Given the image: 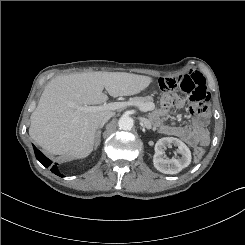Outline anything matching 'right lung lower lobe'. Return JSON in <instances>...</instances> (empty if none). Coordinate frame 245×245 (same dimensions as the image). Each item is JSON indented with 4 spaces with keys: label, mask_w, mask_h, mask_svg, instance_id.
Returning <instances> with one entry per match:
<instances>
[{
    "label": "right lung lower lobe",
    "mask_w": 245,
    "mask_h": 245,
    "mask_svg": "<svg viewBox=\"0 0 245 245\" xmlns=\"http://www.w3.org/2000/svg\"><path fill=\"white\" fill-rule=\"evenodd\" d=\"M36 158L39 162H41L46 168H50L51 172L54 174L63 177V175L59 172L57 164H52V161L45 157L42 152H40L35 146H33Z\"/></svg>",
    "instance_id": "obj_1"
}]
</instances>
